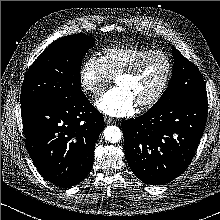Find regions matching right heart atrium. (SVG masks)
Instances as JSON below:
<instances>
[{"label": "right heart atrium", "instance_id": "d8ad5b80", "mask_svg": "<svg viewBox=\"0 0 220 220\" xmlns=\"http://www.w3.org/2000/svg\"><path fill=\"white\" fill-rule=\"evenodd\" d=\"M110 80L111 76L107 72L101 57L91 55L82 63L79 70V81L81 89L85 93L98 97Z\"/></svg>", "mask_w": 220, "mask_h": 220}]
</instances>
